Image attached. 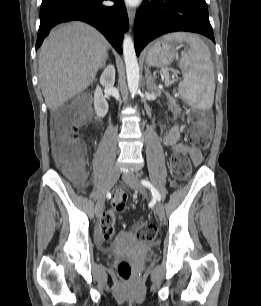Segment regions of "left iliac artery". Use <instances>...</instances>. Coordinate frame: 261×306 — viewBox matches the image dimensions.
Wrapping results in <instances>:
<instances>
[{"mask_svg":"<svg viewBox=\"0 0 261 306\" xmlns=\"http://www.w3.org/2000/svg\"><path fill=\"white\" fill-rule=\"evenodd\" d=\"M141 183H142L145 187H147V188H149V189L151 190L152 195H153V197H154L155 199H157L158 201L161 200V195H160V193L157 191V189L152 185V183H151L149 180H147V179H142V180H141Z\"/></svg>","mask_w":261,"mask_h":306,"instance_id":"left-iliac-artery-1","label":"left iliac artery"}]
</instances>
